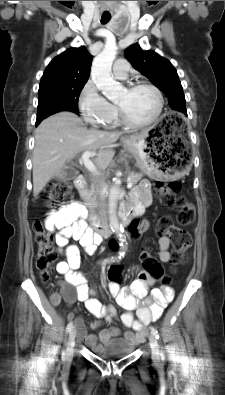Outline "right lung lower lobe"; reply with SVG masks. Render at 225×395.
Instances as JSON below:
<instances>
[{
	"label": "right lung lower lobe",
	"mask_w": 225,
	"mask_h": 395,
	"mask_svg": "<svg viewBox=\"0 0 225 395\" xmlns=\"http://www.w3.org/2000/svg\"><path fill=\"white\" fill-rule=\"evenodd\" d=\"M75 112V111H74ZM77 115H79V112H75ZM42 120H36V126L41 122Z\"/></svg>",
	"instance_id": "98d812e1"
}]
</instances>
